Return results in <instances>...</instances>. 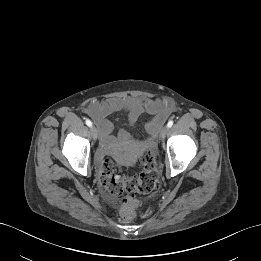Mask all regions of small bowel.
Masks as SVG:
<instances>
[{"label":"small bowel","mask_w":261,"mask_h":261,"mask_svg":"<svg viewBox=\"0 0 261 261\" xmlns=\"http://www.w3.org/2000/svg\"><path fill=\"white\" fill-rule=\"evenodd\" d=\"M172 111V105L165 101L134 96L113 97L104 101L93 100L86 107L87 114L95 121L106 146L112 143L110 136L114 125L108 119L111 114L124 112L128 124L133 125L144 112H147L151 119L146 124V130L151 137H155Z\"/></svg>","instance_id":"1"}]
</instances>
